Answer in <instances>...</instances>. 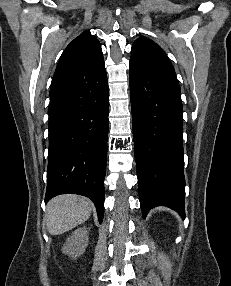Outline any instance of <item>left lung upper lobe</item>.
I'll use <instances>...</instances> for the list:
<instances>
[{"label":"left lung upper lobe","instance_id":"left-lung-upper-lobe-1","mask_svg":"<svg viewBox=\"0 0 231 286\" xmlns=\"http://www.w3.org/2000/svg\"><path fill=\"white\" fill-rule=\"evenodd\" d=\"M130 61L157 72L176 76L175 70L163 49L145 37L137 39L133 44Z\"/></svg>","mask_w":231,"mask_h":286}]
</instances>
